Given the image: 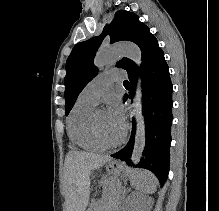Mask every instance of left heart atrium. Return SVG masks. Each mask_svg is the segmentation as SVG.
Wrapping results in <instances>:
<instances>
[{
    "label": "left heart atrium",
    "instance_id": "left-heart-atrium-1",
    "mask_svg": "<svg viewBox=\"0 0 219 211\" xmlns=\"http://www.w3.org/2000/svg\"><path fill=\"white\" fill-rule=\"evenodd\" d=\"M107 115L114 127L123 131L126 126L124 106L118 97H110L107 101Z\"/></svg>",
    "mask_w": 219,
    "mask_h": 211
}]
</instances>
